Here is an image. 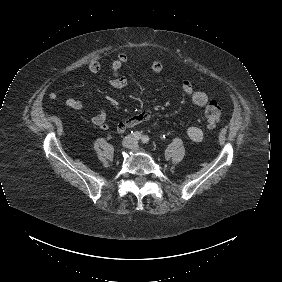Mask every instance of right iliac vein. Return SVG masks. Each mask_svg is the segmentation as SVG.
<instances>
[{"label": "right iliac vein", "instance_id": "63e3f726", "mask_svg": "<svg viewBox=\"0 0 282 282\" xmlns=\"http://www.w3.org/2000/svg\"><path fill=\"white\" fill-rule=\"evenodd\" d=\"M132 144H133V139H132L131 136L125 137V138L122 140V143H121V145H122L123 147H131Z\"/></svg>", "mask_w": 282, "mask_h": 282}]
</instances>
